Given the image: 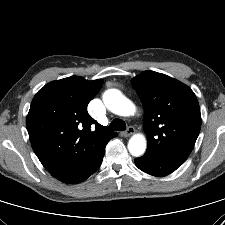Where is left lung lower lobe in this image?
Returning a JSON list of instances; mask_svg holds the SVG:
<instances>
[{"label": "left lung lower lobe", "instance_id": "left-lung-lower-lobe-1", "mask_svg": "<svg viewBox=\"0 0 225 225\" xmlns=\"http://www.w3.org/2000/svg\"><path fill=\"white\" fill-rule=\"evenodd\" d=\"M135 164L143 172L157 177L166 176L180 167L179 164L147 151L142 157L135 159Z\"/></svg>", "mask_w": 225, "mask_h": 225}]
</instances>
